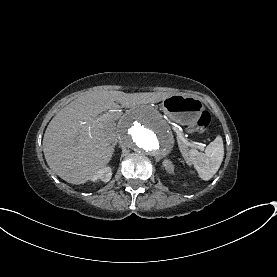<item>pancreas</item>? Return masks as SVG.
Returning <instances> with one entry per match:
<instances>
[{"label":"pancreas","mask_w":277,"mask_h":277,"mask_svg":"<svg viewBox=\"0 0 277 277\" xmlns=\"http://www.w3.org/2000/svg\"><path fill=\"white\" fill-rule=\"evenodd\" d=\"M172 134H173V137L177 140L178 145L182 146V150H181L182 157L186 159L190 158L192 154L191 152L192 150L190 146H187L188 141H187L185 132L177 128L173 130Z\"/></svg>","instance_id":"obj_1"}]
</instances>
